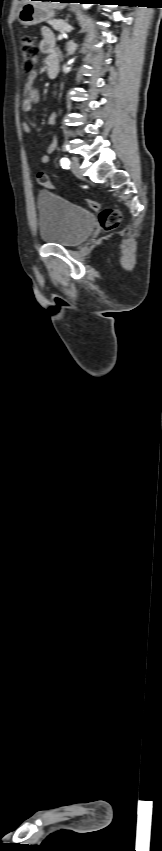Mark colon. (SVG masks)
<instances>
[{
	"label": "colon",
	"mask_w": 162,
	"mask_h": 851,
	"mask_svg": "<svg viewBox=\"0 0 162 851\" xmlns=\"http://www.w3.org/2000/svg\"><path fill=\"white\" fill-rule=\"evenodd\" d=\"M20 49L23 68L26 72L31 73L34 70L38 56V49L34 38L29 35L23 36L20 42ZM36 180L39 185L51 188L49 177L44 172H38ZM86 203L92 210H100V203L97 200L86 199ZM99 221L104 230H113L120 224L121 213L119 210L114 208H105L100 211Z\"/></svg>",
	"instance_id": "1"
}]
</instances>
